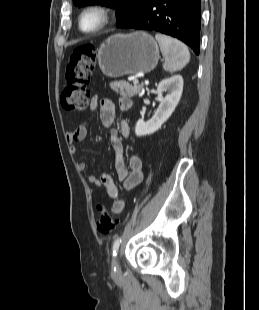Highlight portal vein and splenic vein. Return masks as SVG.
I'll return each instance as SVG.
<instances>
[{
    "label": "portal vein and splenic vein",
    "mask_w": 259,
    "mask_h": 310,
    "mask_svg": "<svg viewBox=\"0 0 259 310\" xmlns=\"http://www.w3.org/2000/svg\"><path fill=\"white\" fill-rule=\"evenodd\" d=\"M138 83H139L138 79H134V80H133V84H134V85H137Z\"/></svg>",
    "instance_id": "18ae733b"
}]
</instances>
